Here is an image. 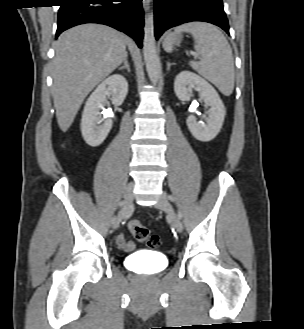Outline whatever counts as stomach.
I'll return each mask as SVG.
<instances>
[{
	"label": "stomach",
	"mask_w": 304,
	"mask_h": 329,
	"mask_svg": "<svg viewBox=\"0 0 304 329\" xmlns=\"http://www.w3.org/2000/svg\"><path fill=\"white\" fill-rule=\"evenodd\" d=\"M180 40H181V36L178 35V34H176V35L174 36L173 43H178V42H180Z\"/></svg>",
	"instance_id": "stomach-1"
}]
</instances>
